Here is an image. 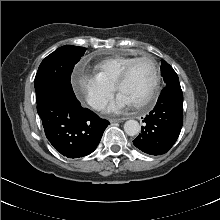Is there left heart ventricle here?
Returning <instances> with one entry per match:
<instances>
[{
  "instance_id": "left-heart-ventricle-1",
  "label": "left heart ventricle",
  "mask_w": 220,
  "mask_h": 220,
  "mask_svg": "<svg viewBox=\"0 0 220 220\" xmlns=\"http://www.w3.org/2000/svg\"><path fill=\"white\" fill-rule=\"evenodd\" d=\"M153 81V66L150 60L138 62L121 87L120 93L126 96L132 104L144 100L150 92Z\"/></svg>"
}]
</instances>
